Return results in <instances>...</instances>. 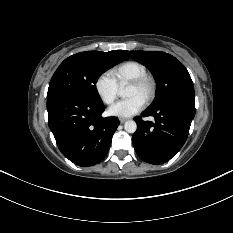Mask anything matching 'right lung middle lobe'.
Returning a JSON list of instances; mask_svg holds the SVG:
<instances>
[{"instance_id":"dd1d6c3e","label":"right lung middle lobe","mask_w":233,"mask_h":233,"mask_svg":"<svg viewBox=\"0 0 233 233\" xmlns=\"http://www.w3.org/2000/svg\"><path fill=\"white\" fill-rule=\"evenodd\" d=\"M126 59L125 51L74 54L66 58L54 73L47 98L70 96L92 104H103L95 86L99 76Z\"/></svg>"}]
</instances>
